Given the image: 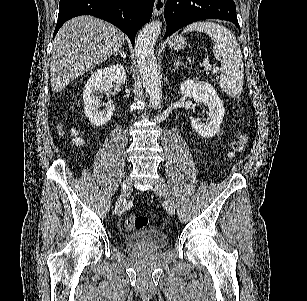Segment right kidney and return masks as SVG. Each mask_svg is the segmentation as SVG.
Instances as JSON below:
<instances>
[{
  "label": "right kidney",
  "instance_id": "right-kidney-1",
  "mask_svg": "<svg viewBox=\"0 0 307 301\" xmlns=\"http://www.w3.org/2000/svg\"><path fill=\"white\" fill-rule=\"evenodd\" d=\"M126 70L123 64H111L104 68H97L96 72L88 78L83 90V108L85 116L94 126H102L110 120L114 114L115 106L112 102L105 104V108H100V98L102 92L109 94L113 82L125 84Z\"/></svg>",
  "mask_w": 307,
  "mask_h": 301
}]
</instances>
